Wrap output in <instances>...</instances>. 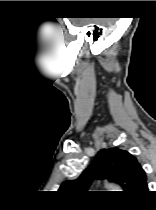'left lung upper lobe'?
Listing matches in <instances>:
<instances>
[{"instance_id": "5c2ea615", "label": "left lung upper lobe", "mask_w": 156, "mask_h": 210, "mask_svg": "<svg viewBox=\"0 0 156 210\" xmlns=\"http://www.w3.org/2000/svg\"><path fill=\"white\" fill-rule=\"evenodd\" d=\"M95 178L120 184L126 193L140 194L148 190L145 171L128 151L119 148L102 149L93 162L75 180L62 183L61 193H84Z\"/></svg>"}]
</instances>
